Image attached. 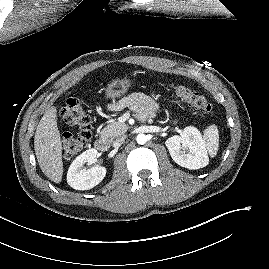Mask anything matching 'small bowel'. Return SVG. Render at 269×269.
<instances>
[{
	"mask_svg": "<svg viewBox=\"0 0 269 269\" xmlns=\"http://www.w3.org/2000/svg\"><path fill=\"white\" fill-rule=\"evenodd\" d=\"M113 107H128L136 112L141 119L151 118L159 110V104L152 97L141 92L131 93L114 104Z\"/></svg>",
	"mask_w": 269,
	"mask_h": 269,
	"instance_id": "small-bowel-1",
	"label": "small bowel"
}]
</instances>
